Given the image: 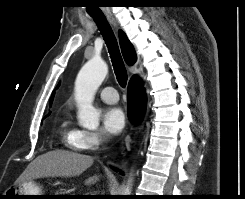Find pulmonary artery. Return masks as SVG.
<instances>
[{
  "instance_id": "e3ab8cb5",
  "label": "pulmonary artery",
  "mask_w": 245,
  "mask_h": 199,
  "mask_svg": "<svg viewBox=\"0 0 245 199\" xmlns=\"http://www.w3.org/2000/svg\"><path fill=\"white\" fill-rule=\"evenodd\" d=\"M100 98L106 103H116L119 100L118 94L113 87H104L99 91Z\"/></svg>"
}]
</instances>
